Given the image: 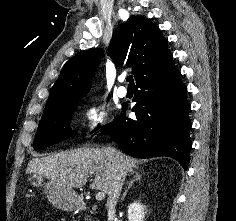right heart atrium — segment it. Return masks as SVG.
I'll use <instances>...</instances> for the list:
<instances>
[{"label":"right heart atrium","mask_w":236,"mask_h":221,"mask_svg":"<svg viewBox=\"0 0 236 221\" xmlns=\"http://www.w3.org/2000/svg\"><path fill=\"white\" fill-rule=\"evenodd\" d=\"M84 121L89 136L99 135L108 122V109L103 102L94 101L84 108Z\"/></svg>","instance_id":"obj_1"}]
</instances>
